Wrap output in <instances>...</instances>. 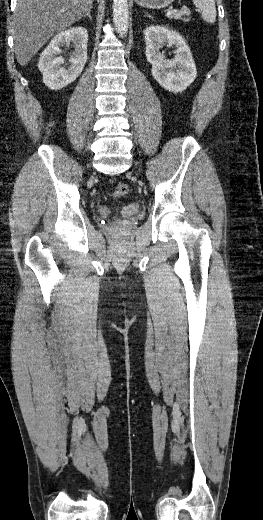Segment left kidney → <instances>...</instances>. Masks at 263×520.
Instances as JSON below:
<instances>
[{
  "mask_svg": "<svg viewBox=\"0 0 263 520\" xmlns=\"http://www.w3.org/2000/svg\"><path fill=\"white\" fill-rule=\"evenodd\" d=\"M146 57L152 65L154 79L166 90L178 93L184 91L196 78L197 70L183 37L163 26H149L145 30ZM163 46H175V57L166 60L160 52Z\"/></svg>",
  "mask_w": 263,
  "mask_h": 520,
  "instance_id": "obj_1",
  "label": "left kidney"
}]
</instances>
